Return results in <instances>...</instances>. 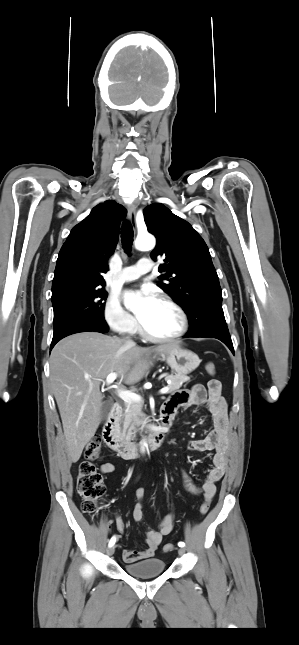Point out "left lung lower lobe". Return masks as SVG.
Masks as SVG:
<instances>
[{
  "label": "left lung lower lobe",
  "mask_w": 299,
  "mask_h": 645,
  "mask_svg": "<svg viewBox=\"0 0 299 645\" xmlns=\"http://www.w3.org/2000/svg\"><path fill=\"white\" fill-rule=\"evenodd\" d=\"M187 337H212L222 341L234 353L232 340L227 328L222 306L212 310L211 320L202 332L190 333Z\"/></svg>",
  "instance_id": "left-lung-lower-lobe-1"
}]
</instances>
